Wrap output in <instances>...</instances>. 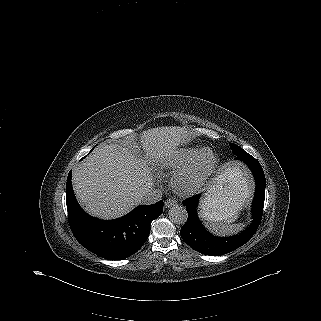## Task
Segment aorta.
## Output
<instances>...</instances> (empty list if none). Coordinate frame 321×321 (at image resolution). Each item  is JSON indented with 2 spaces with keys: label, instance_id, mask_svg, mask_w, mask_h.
Listing matches in <instances>:
<instances>
[{
  "label": "aorta",
  "instance_id": "aorta-1",
  "mask_svg": "<svg viewBox=\"0 0 321 321\" xmlns=\"http://www.w3.org/2000/svg\"><path fill=\"white\" fill-rule=\"evenodd\" d=\"M169 218L174 224L183 225L188 219L186 208L181 205H174L169 210Z\"/></svg>",
  "mask_w": 321,
  "mask_h": 321
}]
</instances>
